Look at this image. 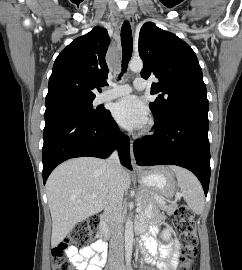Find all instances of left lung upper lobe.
Returning <instances> with one entry per match:
<instances>
[{
    "instance_id": "5c2ea615",
    "label": "left lung upper lobe",
    "mask_w": 242,
    "mask_h": 270,
    "mask_svg": "<svg viewBox=\"0 0 242 270\" xmlns=\"http://www.w3.org/2000/svg\"><path fill=\"white\" fill-rule=\"evenodd\" d=\"M138 47L144 62L141 76H155L159 80L151 86V94L158 97L149 104L156 121L185 111L208 112L202 69L187 43L146 22L140 29Z\"/></svg>"
}]
</instances>
